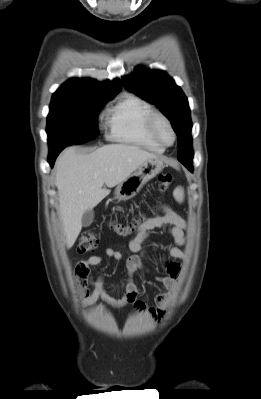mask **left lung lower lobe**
I'll return each mask as SVG.
<instances>
[{
  "label": "left lung lower lobe",
  "instance_id": "0a47b994",
  "mask_svg": "<svg viewBox=\"0 0 261 399\" xmlns=\"http://www.w3.org/2000/svg\"><path fill=\"white\" fill-rule=\"evenodd\" d=\"M182 164L185 165L189 171H192V170H193L192 163L184 162V163H182Z\"/></svg>",
  "mask_w": 261,
  "mask_h": 399
}]
</instances>
